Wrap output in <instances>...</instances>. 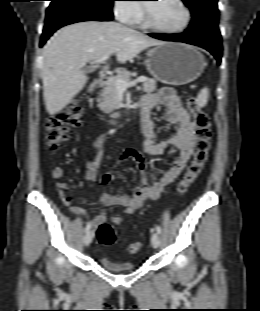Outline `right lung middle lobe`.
Returning <instances> with one entry per match:
<instances>
[{
    "label": "right lung middle lobe",
    "mask_w": 260,
    "mask_h": 311,
    "mask_svg": "<svg viewBox=\"0 0 260 311\" xmlns=\"http://www.w3.org/2000/svg\"><path fill=\"white\" fill-rule=\"evenodd\" d=\"M52 2L55 1H62V0H51ZM63 1H70L76 4L85 6L87 8L96 10L101 13L112 15V5L114 0H63Z\"/></svg>",
    "instance_id": "1"
}]
</instances>
